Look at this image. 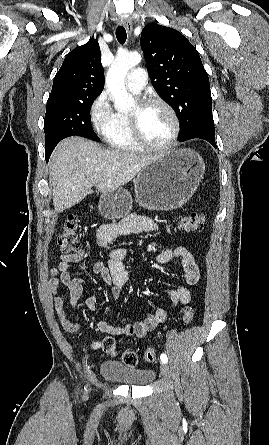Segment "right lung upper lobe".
<instances>
[{"label":"right lung upper lobe","instance_id":"right-lung-upper-lobe-1","mask_svg":"<svg viewBox=\"0 0 269 445\" xmlns=\"http://www.w3.org/2000/svg\"><path fill=\"white\" fill-rule=\"evenodd\" d=\"M104 88V70L97 40H89L68 53L53 81L49 98L99 96Z\"/></svg>","mask_w":269,"mask_h":445}]
</instances>
